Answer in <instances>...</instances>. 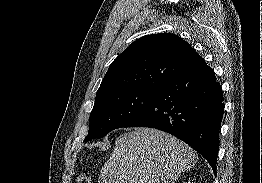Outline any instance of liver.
Segmentation results:
<instances>
[{
	"label": "liver",
	"instance_id": "liver-1",
	"mask_svg": "<svg viewBox=\"0 0 262 183\" xmlns=\"http://www.w3.org/2000/svg\"><path fill=\"white\" fill-rule=\"evenodd\" d=\"M196 162V152L178 138L154 128H136L116 139L99 183H174Z\"/></svg>",
	"mask_w": 262,
	"mask_h": 183
}]
</instances>
